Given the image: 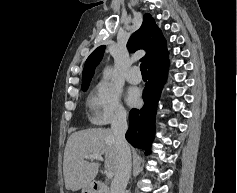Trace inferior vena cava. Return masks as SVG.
Listing matches in <instances>:
<instances>
[{"instance_id": "inferior-vena-cava-1", "label": "inferior vena cava", "mask_w": 237, "mask_h": 193, "mask_svg": "<svg viewBox=\"0 0 237 193\" xmlns=\"http://www.w3.org/2000/svg\"><path fill=\"white\" fill-rule=\"evenodd\" d=\"M127 114L118 113L111 125V131L116 141L119 164L111 183V193H125L131 173V152L125 134L127 132Z\"/></svg>"}]
</instances>
